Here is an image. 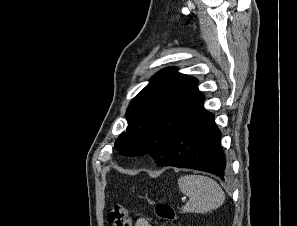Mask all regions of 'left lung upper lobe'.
<instances>
[{
    "instance_id": "1",
    "label": "left lung upper lobe",
    "mask_w": 297,
    "mask_h": 226,
    "mask_svg": "<svg viewBox=\"0 0 297 226\" xmlns=\"http://www.w3.org/2000/svg\"><path fill=\"white\" fill-rule=\"evenodd\" d=\"M197 79L166 68L133 98L127 111V130L115 146L124 155L149 152L156 163L172 143L179 127L204 98Z\"/></svg>"
}]
</instances>
